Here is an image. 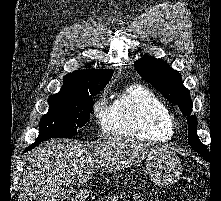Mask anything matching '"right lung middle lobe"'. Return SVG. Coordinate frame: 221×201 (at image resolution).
I'll list each match as a JSON object with an SVG mask.
<instances>
[{
	"label": "right lung middle lobe",
	"mask_w": 221,
	"mask_h": 201,
	"mask_svg": "<svg viewBox=\"0 0 221 201\" xmlns=\"http://www.w3.org/2000/svg\"><path fill=\"white\" fill-rule=\"evenodd\" d=\"M100 91L86 96H66L54 94L49 98V110L39 123L36 141L50 138H70L77 128L83 127L93 108L92 97Z\"/></svg>",
	"instance_id": "dd1d6c3e"
}]
</instances>
